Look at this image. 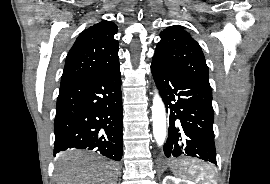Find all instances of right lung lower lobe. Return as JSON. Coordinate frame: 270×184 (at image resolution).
<instances>
[{
  "label": "right lung lower lobe",
  "instance_id": "98d812e1",
  "mask_svg": "<svg viewBox=\"0 0 270 184\" xmlns=\"http://www.w3.org/2000/svg\"><path fill=\"white\" fill-rule=\"evenodd\" d=\"M122 126L120 66L60 85L54 155L68 148H79L120 161Z\"/></svg>",
  "mask_w": 270,
  "mask_h": 184
}]
</instances>
